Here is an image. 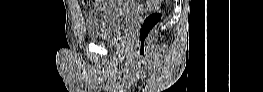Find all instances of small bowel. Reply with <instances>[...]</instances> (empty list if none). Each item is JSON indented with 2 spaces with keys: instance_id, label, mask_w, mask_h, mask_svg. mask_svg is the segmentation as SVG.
I'll return each mask as SVG.
<instances>
[{
  "instance_id": "small-bowel-1",
  "label": "small bowel",
  "mask_w": 263,
  "mask_h": 92,
  "mask_svg": "<svg viewBox=\"0 0 263 92\" xmlns=\"http://www.w3.org/2000/svg\"><path fill=\"white\" fill-rule=\"evenodd\" d=\"M154 3H158L159 1H152ZM127 4H132V5H135V8H138L140 10H143L140 6H138L136 3H133V2H130V3H127ZM75 9H77V4H75Z\"/></svg>"
}]
</instances>
